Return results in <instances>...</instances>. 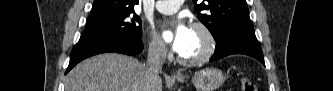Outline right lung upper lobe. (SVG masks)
Instances as JSON below:
<instances>
[{
	"instance_id": "cb5924a9",
	"label": "right lung upper lobe",
	"mask_w": 333,
	"mask_h": 91,
	"mask_svg": "<svg viewBox=\"0 0 333 91\" xmlns=\"http://www.w3.org/2000/svg\"><path fill=\"white\" fill-rule=\"evenodd\" d=\"M138 3L139 0H94L90 19L134 10Z\"/></svg>"
}]
</instances>
